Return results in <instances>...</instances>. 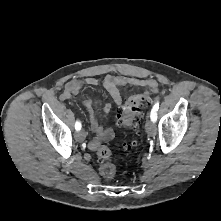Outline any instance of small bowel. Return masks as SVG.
Segmentation results:
<instances>
[{"label":"small bowel","mask_w":221,"mask_h":221,"mask_svg":"<svg viewBox=\"0 0 221 221\" xmlns=\"http://www.w3.org/2000/svg\"><path fill=\"white\" fill-rule=\"evenodd\" d=\"M98 84V80L94 77H87L81 80H72L65 84L64 90L61 94L62 100L71 99L74 95L78 94L85 88L95 87ZM102 86L111 98L112 102L106 103L102 108L103 114H109L113 108V105L122 106L123 100L119 88L123 86H150L155 87V82L149 79H142L131 76H115L107 75L102 81ZM84 106L90 115L91 128L95 132V137L89 142V148L91 150H97L100 144L104 141L110 140L114 136V130L111 127L104 128L99 120L98 115L100 110L98 108V102L96 100L88 99L84 102ZM119 114H117V124L122 125Z\"/></svg>","instance_id":"c3829d8e"}]
</instances>
